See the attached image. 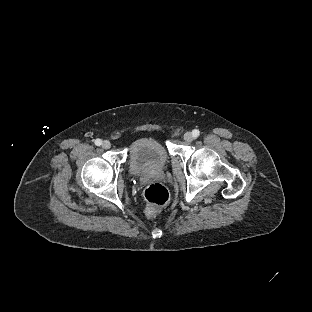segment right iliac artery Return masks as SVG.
Masks as SVG:
<instances>
[{
	"mask_svg": "<svg viewBox=\"0 0 312 312\" xmlns=\"http://www.w3.org/2000/svg\"><path fill=\"white\" fill-rule=\"evenodd\" d=\"M95 144H96L97 146H100V145L102 144V141H101L100 139H96V140H95Z\"/></svg>",
	"mask_w": 312,
	"mask_h": 312,
	"instance_id": "obj_1",
	"label": "right iliac artery"
}]
</instances>
